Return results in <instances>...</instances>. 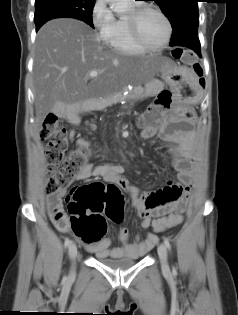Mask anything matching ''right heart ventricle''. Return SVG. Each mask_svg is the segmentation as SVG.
Returning a JSON list of instances; mask_svg holds the SVG:
<instances>
[{"label": "right heart ventricle", "instance_id": "obj_1", "mask_svg": "<svg viewBox=\"0 0 238 315\" xmlns=\"http://www.w3.org/2000/svg\"><path fill=\"white\" fill-rule=\"evenodd\" d=\"M103 39L109 48L121 54L135 55L146 51L135 44L131 38L128 27V14L118 15Z\"/></svg>", "mask_w": 238, "mask_h": 315}]
</instances>
